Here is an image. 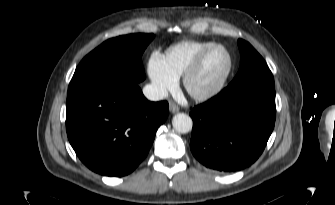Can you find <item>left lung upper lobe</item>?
I'll use <instances>...</instances> for the list:
<instances>
[{
  "mask_svg": "<svg viewBox=\"0 0 335 205\" xmlns=\"http://www.w3.org/2000/svg\"><path fill=\"white\" fill-rule=\"evenodd\" d=\"M238 47L241 55L240 68L230 85L262 83L274 86L273 75L259 53L242 39L238 40Z\"/></svg>",
  "mask_w": 335,
  "mask_h": 205,
  "instance_id": "obj_1",
  "label": "left lung upper lobe"
}]
</instances>
